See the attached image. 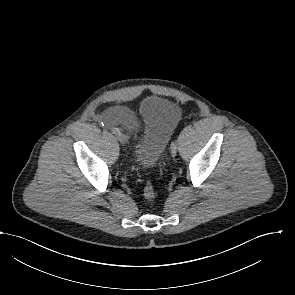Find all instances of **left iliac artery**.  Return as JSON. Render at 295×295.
Here are the masks:
<instances>
[{
    "label": "left iliac artery",
    "mask_w": 295,
    "mask_h": 295,
    "mask_svg": "<svg viewBox=\"0 0 295 295\" xmlns=\"http://www.w3.org/2000/svg\"><path fill=\"white\" fill-rule=\"evenodd\" d=\"M174 146H177V142H176V141H173V142L171 143V147H174Z\"/></svg>",
    "instance_id": "1"
}]
</instances>
